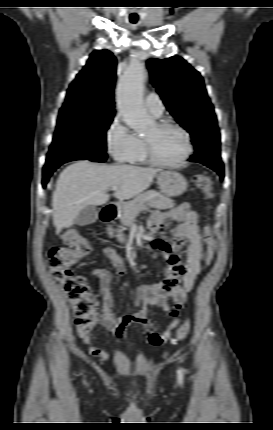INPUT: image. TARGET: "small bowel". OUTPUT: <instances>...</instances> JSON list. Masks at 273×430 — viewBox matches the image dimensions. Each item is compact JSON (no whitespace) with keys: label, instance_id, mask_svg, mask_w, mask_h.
<instances>
[{"label":"small bowel","instance_id":"c3829d8e","mask_svg":"<svg viewBox=\"0 0 273 430\" xmlns=\"http://www.w3.org/2000/svg\"><path fill=\"white\" fill-rule=\"evenodd\" d=\"M168 221L178 223L170 238L164 234ZM197 221V213L187 202H182L169 210L156 211L152 215L149 228L153 234L159 236L153 241L152 247L158 251L157 254L166 259L167 277L158 284L141 286L136 291L134 306L137 310L132 314L115 316L114 301L110 294L112 278L110 271L105 268H96L92 271L91 274L97 280L101 296L102 312L99 323L113 330L119 340L127 341L126 329L132 323L140 324L145 328L146 342L153 346L165 343L171 338L173 330L177 332L184 327L185 323L180 324L177 310L186 301L187 294L193 289L201 271L202 242ZM104 252L112 261L116 273L122 276L125 272L122 256L110 247H106ZM169 299L173 301V307L169 304ZM152 307L167 313L170 318L161 334L156 332L154 323L148 318V312ZM89 352L104 361L109 358L103 347L90 345Z\"/></svg>","mask_w":273,"mask_h":430}]
</instances>
